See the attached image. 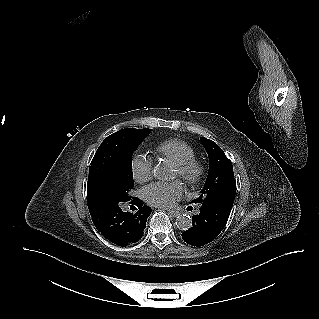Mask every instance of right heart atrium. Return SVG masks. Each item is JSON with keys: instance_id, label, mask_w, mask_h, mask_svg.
Listing matches in <instances>:
<instances>
[{"instance_id": "1", "label": "right heart atrium", "mask_w": 319, "mask_h": 319, "mask_svg": "<svg viewBox=\"0 0 319 319\" xmlns=\"http://www.w3.org/2000/svg\"><path fill=\"white\" fill-rule=\"evenodd\" d=\"M132 175L138 183L151 179L153 174V160L142 153H136L131 159Z\"/></svg>"}]
</instances>
